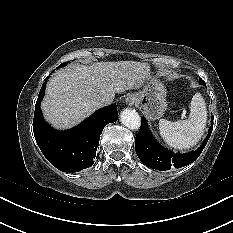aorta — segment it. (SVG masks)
I'll return each instance as SVG.
<instances>
[{
    "mask_svg": "<svg viewBox=\"0 0 233 233\" xmlns=\"http://www.w3.org/2000/svg\"><path fill=\"white\" fill-rule=\"evenodd\" d=\"M121 123L131 130H137L141 125L139 114L134 109H124L120 115Z\"/></svg>",
    "mask_w": 233,
    "mask_h": 233,
    "instance_id": "aorta-1",
    "label": "aorta"
}]
</instances>
